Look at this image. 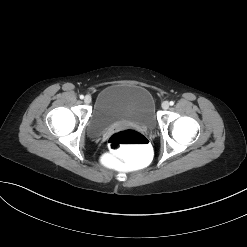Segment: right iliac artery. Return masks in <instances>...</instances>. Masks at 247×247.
Returning a JSON list of instances; mask_svg holds the SVG:
<instances>
[{
    "label": "right iliac artery",
    "mask_w": 247,
    "mask_h": 247,
    "mask_svg": "<svg viewBox=\"0 0 247 247\" xmlns=\"http://www.w3.org/2000/svg\"><path fill=\"white\" fill-rule=\"evenodd\" d=\"M79 97H80V99H83V98H84V96H83V95H80Z\"/></svg>",
    "instance_id": "82829eb1"
}]
</instances>
